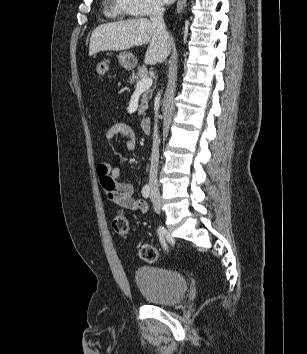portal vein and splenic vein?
Returning <instances> with one entry per match:
<instances>
[{
  "mask_svg": "<svg viewBox=\"0 0 307 354\" xmlns=\"http://www.w3.org/2000/svg\"><path fill=\"white\" fill-rule=\"evenodd\" d=\"M152 78H144L140 81L137 82L136 84V92H143L146 91L147 89H149L152 85Z\"/></svg>",
  "mask_w": 307,
  "mask_h": 354,
  "instance_id": "1",
  "label": "portal vein and splenic vein"
}]
</instances>
